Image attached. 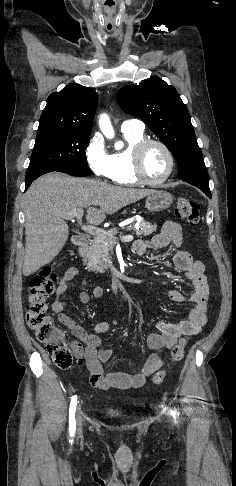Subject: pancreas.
Wrapping results in <instances>:
<instances>
[{"label": "pancreas", "mask_w": 236, "mask_h": 486, "mask_svg": "<svg viewBox=\"0 0 236 486\" xmlns=\"http://www.w3.org/2000/svg\"><path fill=\"white\" fill-rule=\"evenodd\" d=\"M140 228L135 229L134 225L128 226L126 229L135 231L137 236H148L156 231L157 226L152 225L143 219L139 223ZM118 233L117 229L108 231L103 237H94L90 243L87 252L83 255V263L87 266L88 271L103 273L110 265L109 249L116 243L114 235Z\"/></svg>", "instance_id": "cf45deb5"}]
</instances>
